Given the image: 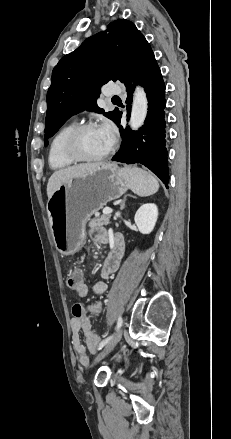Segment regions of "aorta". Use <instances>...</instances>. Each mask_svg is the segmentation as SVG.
Here are the masks:
<instances>
[{"mask_svg":"<svg viewBox=\"0 0 231 439\" xmlns=\"http://www.w3.org/2000/svg\"><path fill=\"white\" fill-rule=\"evenodd\" d=\"M148 100L143 88L137 87L134 92L132 111L130 116V127L133 130L139 129L147 116Z\"/></svg>","mask_w":231,"mask_h":439,"instance_id":"aorta-1","label":"aorta"}]
</instances>
